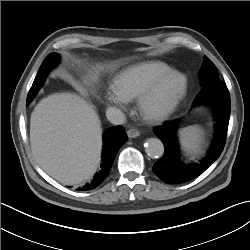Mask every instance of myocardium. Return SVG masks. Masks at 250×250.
<instances>
[{"instance_id":"f54148a6","label":"myocardium","mask_w":250,"mask_h":250,"mask_svg":"<svg viewBox=\"0 0 250 250\" xmlns=\"http://www.w3.org/2000/svg\"><path fill=\"white\" fill-rule=\"evenodd\" d=\"M177 78L180 80V85L175 94L160 108L152 109L151 104L157 96L162 85ZM188 89L187 76L179 71L172 70L154 80L138 97L137 107L143 118L149 123H159L168 118L179 103L184 98Z\"/></svg>"}]
</instances>
